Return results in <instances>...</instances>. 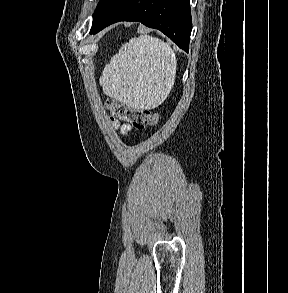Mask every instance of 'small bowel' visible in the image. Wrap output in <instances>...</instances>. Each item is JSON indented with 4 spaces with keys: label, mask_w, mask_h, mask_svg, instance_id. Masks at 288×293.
Segmentation results:
<instances>
[{
    "label": "small bowel",
    "mask_w": 288,
    "mask_h": 293,
    "mask_svg": "<svg viewBox=\"0 0 288 293\" xmlns=\"http://www.w3.org/2000/svg\"><path fill=\"white\" fill-rule=\"evenodd\" d=\"M115 124L123 135L128 134L132 130V126L130 124L119 125L117 122H115Z\"/></svg>",
    "instance_id": "1"
}]
</instances>
